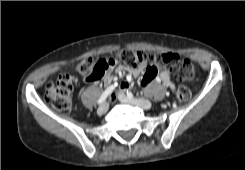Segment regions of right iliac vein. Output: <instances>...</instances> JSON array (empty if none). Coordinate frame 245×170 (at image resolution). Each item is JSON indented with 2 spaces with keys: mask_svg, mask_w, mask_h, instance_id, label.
Wrapping results in <instances>:
<instances>
[{
  "mask_svg": "<svg viewBox=\"0 0 245 170\" xmlns=\"http://www.w3.org/2000/svg\"><path fill=\"white\" fill-rule=\"evenodd\" d=\"M108 108H109V104H108V103H103V104L98 108L97 113H98L99 115H102V114H104V113L108 110Z\"/></svg>",
  "mask_w": 245,
  "mask_h": 170,
  "instance_id": "obj_1",
  "label": "right iliac vein"
}]
</instances>
